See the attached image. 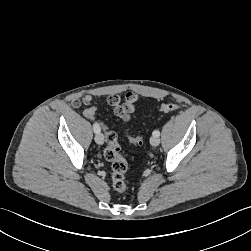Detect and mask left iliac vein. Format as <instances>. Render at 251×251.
Wrapping results in <instances>:
<instances>
[{
	"label": "left iliac vein",
	"mask_w": 251,
	"mask_h": 251,
	"mask_svg": "<svg viewBox=\"0 0 251 251\" xmlns=\"http://www.w3.org/2000/svg\"><path fill=\"white\" fill-rule=\"evenodd\" d=\"M150 143L152 146H158L160 144V139L157 136H152L150 138Z\"/></svg>",
	"instance_id": "obj_1"
}]
</instances>
